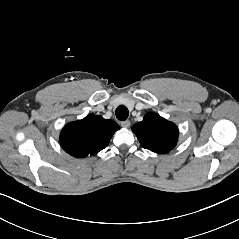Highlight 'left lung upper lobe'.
I'll list each match as a JSON object with an SVG mask.
<instances>
[{
  "instance_id": "left-lung-upper-lobe-1",
  "label": "left lung upper lobe",
  "mask_w": 239,
  "mask_h": 239,
  "mask_svg": "<svg viewBox=\"0 0 239 239\" xmlns=\"http://www.w3.org/2000/svg\"><path fill=\"white\" fill-rule=\"evenodd\" d=\"M143 148L165 154L171 151L178 140L177 126L158 114L147 113L143 121L132 127Z\"/></svg>"
}]
</instances>
